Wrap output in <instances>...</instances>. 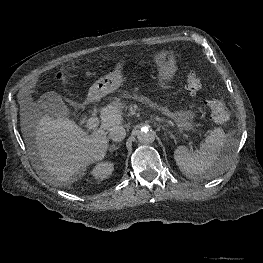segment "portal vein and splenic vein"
Instances as JSON below:
<instances>
[{"mask_svg":"<svg viewBox=\"0 0 263 263\" xmlns=\"http://www.w3.org/2000/svg\"><path fill=\"white\" fill-rule=\"evenodd\" d=\"M99 119L97 118V117H90L89 119H88V122H87V128L89 129V130H91V129H94L95 127H97L98 125H99Z\"/></svg>","mask_w":263,"mask_h":263,"instance_id":"1","label":"portal vein and splenic vein"}]
</instances>
